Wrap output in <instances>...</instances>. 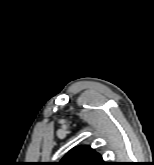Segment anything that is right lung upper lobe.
I'll list each match as a JSON object with an SVG mask.
<instances>
[{
    "instance_id": "right-lung-upper-lobe-1",
    "label": "right lung upper lobe",
    "mask_w": 154,
    "mask_h": 165,
    "mask_svg": "<svg viewBox=\"0 0 154 165\" xmlns=\"http://www.w3.org/2000/svg\"><path fill=\"white\" fill-rule=\"evenodd\" d=\"M59 163L62 165H105L101 155L89 146L72 149Z\"/></svg>"
}]
</instances>
